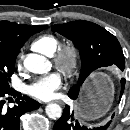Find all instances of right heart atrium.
<instances>
[{"label": "right heart atrium", "instance_id": "obj_1", "mask_svg": "<svg viewBox=\"0 0 130 130\" xmlns=\"http://www.w3.org/2000/svg\"><path fill=\"white\" fill-rule=\"evenodd\" d=\"M22 64H23V53L20 52V53L18 54V56H17V66H18L19 68H21V67H22Z\"/></svg>", "mask_w": 130, "mask_h": 130}]
</instances>
